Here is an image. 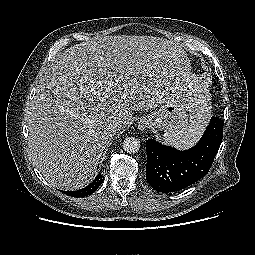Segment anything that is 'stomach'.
<instances>
[{"label": "stomach", "instance_id": "1", "mask_svg": "<svg viewBox=\"0 0 255 255\" xmlns=\"http://www.w3.org/2000/svg\"><path fill=\"white\" fill-rule=\"evenodd\" d=\"M178 91H174L168 97L167 101L160 105L156 111H153L146 118L150 125L165 131L181 130L188 126L187 105Z\"/></svg>", "mask_w": 255, "mask_h": 255}]
</instances>
